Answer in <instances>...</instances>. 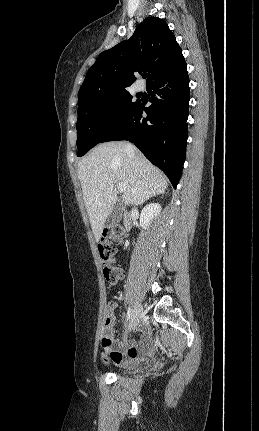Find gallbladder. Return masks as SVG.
Returning a JSON list of instances; mask_svg holds the SVG:
<instances>
[{"instance_id": "gallbladder-1", "label": "gallbladder", "mask_w": 259, "mask_h": 431, "mask_svg": "<svg viewBox=\"0 0 259 431\" xmlns=\"http://www.w3.org/2000/svg\"><path fill=\"white\" fill-rule=\"evenodd\" d=\"M123 206L124 205L122 201H117L105 222L106 227H110L121 220L123 214Z\"/></svg>"}]
</instances>
